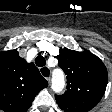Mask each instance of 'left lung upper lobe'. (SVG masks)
<instances>
[{
    "label": "left lung upper lobe",
    "instance_id": "left-lung-upper-lobe-1",
    "mask_svg": "<svg viewBox=\"0 0 112 112\" xmlns=\"http://www.w3.org/2000/svg\"><path fill=\"white\" fill-rule=\"evenodd\" d=\"M60 68L67 75L63 95H55L64 112H88L101 100L107 86V69L90 51L60 49L57 56Z\"/></svg>",
    "mask_w": 112,
    "mask_h": 112
}]
</instances>
